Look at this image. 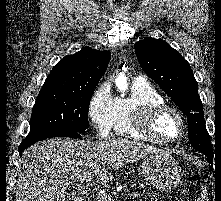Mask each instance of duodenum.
Wrapping results in <instances>:
<instances>
[{
    "label": "duodenum",
    "mask_w": 221,
    "mask_h": 201,
    "mask_svg": "<svg viewBox=\"0 0 221 201\" xmlns=\"http://www.w3.org/2000/svg\"><path fill=\"white\" fill-rule=\"evenodd\" d=\"M78 201H84L83 199H80V200H78Z\"/></svg>",
    "instance_id": "1"
}]
</instances>
